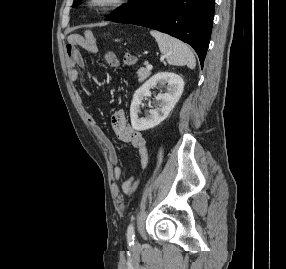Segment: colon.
I'll use <instances>...</instances> for the list:
<instances>
[{
	"mask_svg": "<svg viewBox=\"0 0 286 269\" xmlns=\"http://www.w3.org/2000/svg\"><path fill=\"white\" fill-rule=\"evenodd\" d=\"M85 42L90 43V40H85ZM128 54H123V59H125V61H122V66H135V62H138V57H137V53L138 50L137 49H128L127 50Z\"/></svg>",
	"mask_w": 286,
	"mask_h": 269,
	"instance_id": "5ec220e1",
	"label": "colon"
}]
</instances>
